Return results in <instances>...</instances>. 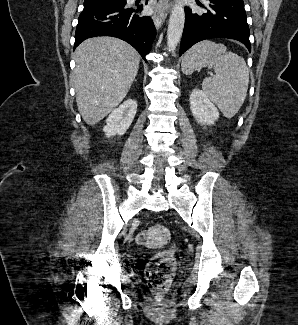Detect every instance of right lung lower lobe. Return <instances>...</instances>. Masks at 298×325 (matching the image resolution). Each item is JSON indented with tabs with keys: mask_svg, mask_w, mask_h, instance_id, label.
<instances>
[{
	"mask_svg": "<svg viewBox=\"0 0 298 325\" xmlns=\"http://www.w3.org/2000/svg\"><path fill=\"white\" fill-rule=\"evenodd\" d=\"M126 2L109 6L84 7L75 34L76 48L94 36H113L131 44L145 60L156 36V28L149 16H140L137 8L125 7Z\"/></svg>",
	"mask_w": 298,
	"mask_h": 325,
	"instance_id": "right-lung-lower-lobe-1",
	"label": "right lung lower lobe"
}]
</instances>
